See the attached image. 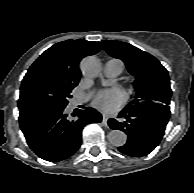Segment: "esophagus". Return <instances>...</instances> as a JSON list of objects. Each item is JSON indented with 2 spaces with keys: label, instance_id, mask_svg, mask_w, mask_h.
I'll use <instances>...</instances> for the list:
<instances>
[{
  "label": "esophagus",
  "instance_id": "1",
  "mask_svg": "<svg viewBox=\"0 0 194 193\" xmlns=\"http://www.w3.org/2000/svg\"><path fill=\"white\" fill-rule=\"evenodd\" d=\"M102 122L104 125H107L108 117L106 115H103Z\"/></svg>",
  "mask_w": 194,
  "mask_h": 193
}]
</instances>
